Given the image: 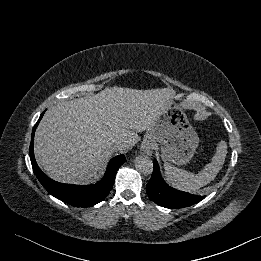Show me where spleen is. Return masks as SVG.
I'll list each match as a JSON object with an SVG mask.
<instances>
[{
  "label": "spleen",
  "instance_id": "spleen-1",
  "mask_svg": "<svg viewBox=\"0 0 261 261\" xmlns=\"http://www.w3.org/2000/svg\"><path fill=\"white\" fill-rule=\"evenodd\" d=\"M227 155V143L220 141L212 161L203 170L194 174L179 169L170 163H164L165 177L167 181L179 190L192 192L210 183L221 170Z\"/></svg>",
  "mask_w": 261,
  "mask_h": 261
}]
</instances>
